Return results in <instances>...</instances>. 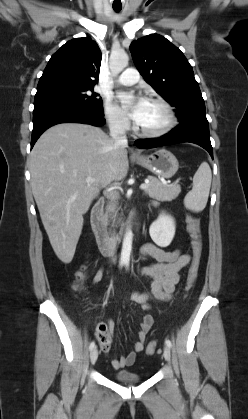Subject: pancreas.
<instances>
[{"instance_id":"obj_1","label":"pancreas","mask_w":248,"mask_h":419,"mask_svg":"<svg viewBox=\"0 0 248 419\" xmlns=\"http://www.w3.org/2000/svg\"><path fill=\"white\" fill-rule=\"evenodd\" d=\"M149 183L148 188L144 191L148 194L151 198L157 199L159 201H172L174 200L181 192V187L179 184H164L156 177L149 176L148 177ZM117 196L112 198V203L107 206V212L105 214V218H108V213L115 212L116 209V201Z\"/></svg>"}]
</instances>
